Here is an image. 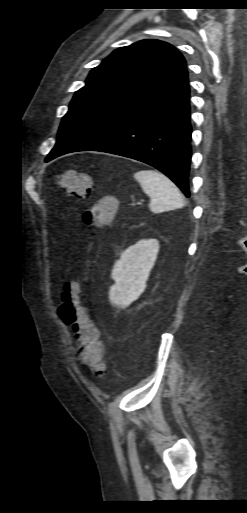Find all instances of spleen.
Here are the masks:
<instances>
[{
  "mask_svg": "<svg viewBox=\"0 0 247 513\" xmlns=\"http://www.w3.org/2000/svg\"><path fill=\"white\" fill-rule=\"evenodd\" d=\"M134 179L150 197L149 208L154 214L182 208L184 199L176 185L156 170H138Z\"/></svg>",
  "mask_w": 247,
  "mask_h": 513,
  "instance_id": "3e777b00",
  "label": "spleen"
}]
</instances>
